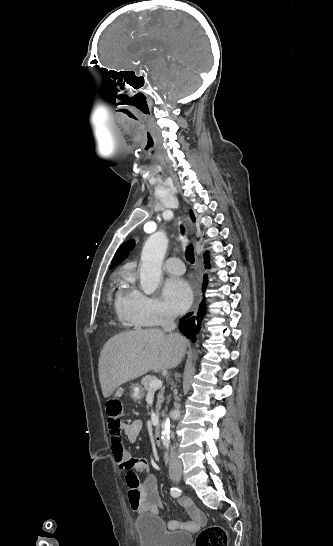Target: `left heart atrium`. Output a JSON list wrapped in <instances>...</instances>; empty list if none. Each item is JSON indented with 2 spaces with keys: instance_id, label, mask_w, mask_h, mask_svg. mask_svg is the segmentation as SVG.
Returning a JSON list of instances; mask_svg holds the SVG:
<instances>
[{
  "instance_id": "obj_1",
  "label": "left heart atrium",
  "mask_w": 333,
  "mask_h": 546,
  "mask_svg": "<svg viewBox=\"0 0 333 546\" xmlns=\"http://www.w3.org/2000/svg\"><path fill=\"white\" fill-rule=\"evenodd\" d=\"M163 298L169 311L173 314L184 312L192 301L189 284L182 278L172 277L163 287Z\"/></svg>"
}]
</instances>
